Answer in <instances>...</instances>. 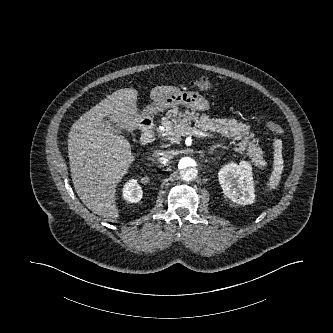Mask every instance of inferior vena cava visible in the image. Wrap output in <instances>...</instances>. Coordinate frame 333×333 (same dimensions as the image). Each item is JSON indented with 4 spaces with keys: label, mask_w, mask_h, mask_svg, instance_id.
Segmentation results:
<instances>
[{
    "label": "inferior vena cava",
    "mask_w": 333,
    "mask_h": 333,
    "mask_svg": "<svg viewBox=\"0 0 333 333\" xmlns=\"http://www.w3.org/2000/svg\"><path fill=\"white\" fill-rule=\"evenodd\" d=\"M153 157L159 162L166 163L173 159L174 152L172 150H156Z\"/></svg>",
    "instance_id": "obj_1"
}]
</instances>
